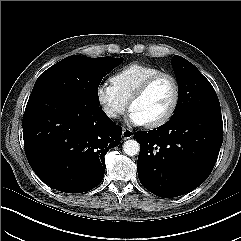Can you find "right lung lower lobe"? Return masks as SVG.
Here are the masks:
<instances>
[{"mask_svg":"<svg viewBox=\"0 0 241 241\" xmlns=\"http://www.w3.org/2000/svg\"><path fill=\"white\" fill-rule=\"evenodd\" d=\"M22 126L31 168L44 183L65 193L100 184L104 155L119 145L122 134L99 106L61 91L30 97Z\"/></svg>","mask_w":241,"mask_h":241,"instance_id":"1","label":"right lung lower lobe"}]
</instances>
